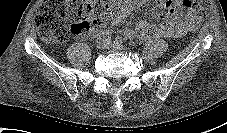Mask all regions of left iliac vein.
<instances>
[{"mask_svg":"<svg viewBox=\"0 0 227 133\" xmlns=\"http://www.w3.org/2000/svg\"><path fill=\"white\" fill-rule=\"evenodd\" d=\"M108 49H111L114 51H120V50H123L124 47L122 45L109 44Z\"/></svg>","mask_w":227,"mask_h":133,"instance_id":"1","label":"left iliac vein"}]
</instances>
